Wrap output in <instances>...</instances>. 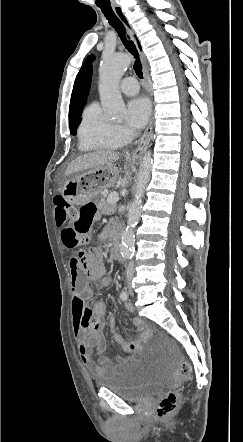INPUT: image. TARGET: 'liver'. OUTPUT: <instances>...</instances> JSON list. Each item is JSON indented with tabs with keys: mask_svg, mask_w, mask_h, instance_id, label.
<instances>
[{
	"mask_svg": "<svg viewBox=\"0 0 243 442\" xmlns=\"http://www.w3.org/2000/svg\"><path fill=\"white\" fill-rule=\"evenodd\" d=\"M120 154L111 150H100L84 154L73 160L67 167L65 175L69 176L83 170L93 169L102 165L113 164L118 161Z\"/></svg>",
	"mask_w": 243,
	"mask_h": 442,
	"instance_id": "1",
	"label": "liver"
}]
</instances>
